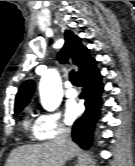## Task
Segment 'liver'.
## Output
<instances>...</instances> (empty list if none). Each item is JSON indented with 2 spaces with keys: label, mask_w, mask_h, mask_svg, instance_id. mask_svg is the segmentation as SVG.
<instances>
[{
  "label": "liver",
  "mask_w": 135,
  "mask_h": 166,
  "mask_svg": "<svg viewBox=\"0 0 135 166\" xmlns=\"http://www.w3.org/2000/svg\"><path fill=\"white\" fill-rule=\"evenodd\" d=\"M78 152V146L69 139L64 148L59 138L36 145H23L14 149L5 166H63Z\"/></svg>",
  "instance_id": "liver-1"
}]
</instances>
